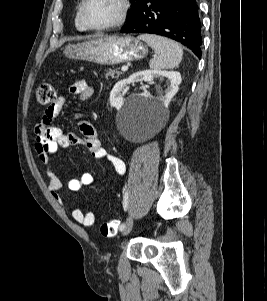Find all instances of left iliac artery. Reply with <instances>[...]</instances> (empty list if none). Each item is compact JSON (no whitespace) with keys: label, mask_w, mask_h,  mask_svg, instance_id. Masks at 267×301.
Listing matches in <instances>:
<instances>
[{"label":"left iliac artery","mask_w":267,"mask_h":301,"mask_svg":"<svg viewBox=\"0 0 267 301\" xmlns=\"http://www.w3.org/2000/svg\"><path fill=\"white\" fill-rule=\"evenodd\" d=\"M123 207H124L125 211L128 208V191H126L123 196ZM124 227H125V223H122L119 227V230L122 231L124 229Z\"/></svg>","instance_id":"obj_1"}]
</instances>
